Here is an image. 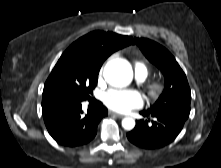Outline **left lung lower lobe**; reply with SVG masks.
Segmentation results:
<instances>
[{"mask_svg": "<svg viewBox=\"0 0 221 168\" xmlns=\"http://www.w3.org/2000/svg\"><path fill=\"white\" fill-rule=\"evenodd\" d=\"M143 117H153L152 124L150 120L136 121L135 128L127 133V138L134 145L144 149L161 148L178 136L189 115L178 112L149 113L141 111Z\"/></svg>", "mask_w": 221, "mask_h": 168, "instance_id": "obj_1", "label": "left lung lower lobe"}]
</instances>
